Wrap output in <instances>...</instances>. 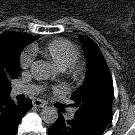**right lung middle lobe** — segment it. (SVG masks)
Returning <instances> with one entry per match:
<instances>
[{"label":"right lung middle lobe","mask_w":135,"mask_h":135,"mask_svg":"<svg viewBox=\"0 0 135 135\" xmlns=\"http://www.w3.org/2000/svg\"><path fill=\"white\" fill-rule=\"evenodd\" d=\"M24 45H20L19 47V52L23 49ZM19 76V63L17 64V72H16V75L12 78H17ZM11 78V79H12ZM10 78L7 79V78H4L2 80H0V92L1 93H10L11 91V88L9 87L10 86Z\"/></svg>","instance_id":"dd1d6c3e"}]
</instances>
